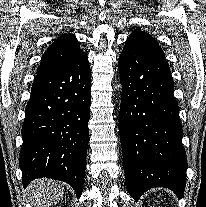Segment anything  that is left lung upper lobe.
<instances>
[{
    "label": "left lung upper lobe",
    "mask_w": 206,
    "mask_h": 207,
    "mask_svg": "<svg viewBox=\"0 0 206 207\" xmlns=\"http://www.w3.org/2000/svg\"><path fill=\"white\" fill-rule=\"evenodd\" d=\"M125 46L134 47L145 53L165 60L164 52L159 44L148 33L140 29H135L126 40Z\"/></svg>",
    "instance_id": "5c2ea615"
}]
</instances>
